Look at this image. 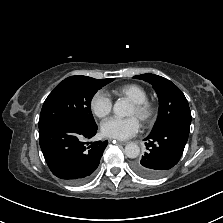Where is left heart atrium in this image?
Returning a JSON list of instances; mask_svg holds the SVG:
<instances>
[{
  "label": "left heart atrium",
  "mask_w": 223,
  "mask_h": 223,
  "mask_svg": "<svg viewBox=\"0 0 223 223\" xmlns=\"http://www.w3.org/2000/svg\"><path fill=\"white\" fill-rule=\"evenodd\" d=\"M140 128V123L135 116L128 118H111L103 122L102 133L109 138L125 140L135 135Z\"/></svg>",
  "instance_id": "1"
}]
</instances>
